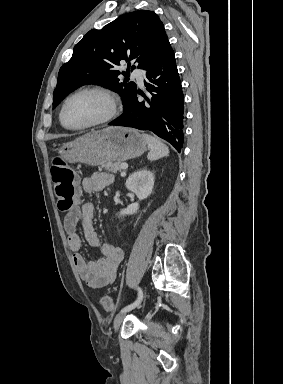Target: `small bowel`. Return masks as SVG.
I'll list each match as a JSON object with an SVG mask.
<instances>
[{"mask_svg": "<svg viewBox=\"0 0 283 384\" xmlns=\"http://www.w3.org/2000/svg\"><path fill=\"white\" fill-rule=\"evenodd\" d=\"M113 176L105 172H94L82 180V189L94 194L111 184ZM94 203L89 200L75 206L64 217V229L68 236V245L73 253L75 267L82 280L92 289L112 284L123 259L122 249L115 244L103 243L93 227ZM81 225L87 243L98 250L102 257L88 261L83 255V241L78 233Z\"/></svg>", "mask_w": 283, "mask_h": 384, "instance_id": "c3829d8e", "label": "small bowel"}]
</instances>
